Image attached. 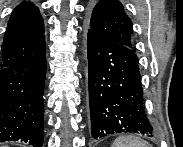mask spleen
<instances>
[{
  "label": "spleen",
  "mask_w": 183,
  "mask_h": 147,
  "mask_svg": "<svg viewBox=\"0 0 183 147\" xmlns=\"http://www.w3.org/2000/svg\"><path fill=\"white\" fill-rule=\"evenodd\" d=\"M112 147H151V145L133 136H120L112 144Z\"/></svg>",
  "instance_id": "obj_1"
}]
</instances>
